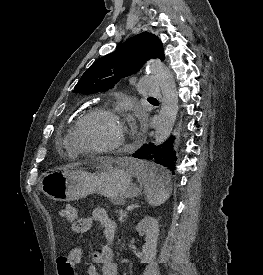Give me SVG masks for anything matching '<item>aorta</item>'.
Listing matches in <instances>:
<instances>
[{
    "mask_svg": "<svg viewBox=\"0 0 263 275\" xmlns=\"http://www.w3.org/2000/svg\"><path fill=\"white\" fill-rule=\"evenodd\" d=\"M147 69L162 91V105L154 135L155 144L160 145L170 136L176 121L178 92L172 73L160 60H151Z\"/></svg>",
    "mask_w": 263,
    "mask_h": 275,
    "instance_id": "aorta-1",
    "label": "aorta"
}]
</instances>
